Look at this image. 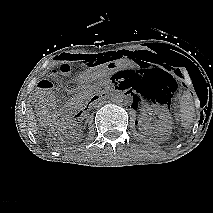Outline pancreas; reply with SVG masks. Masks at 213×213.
<instances>
[{"label":"pancreas","mask_w":213,"mask_h":213,"mask_svg":"<svg viewBox=\"0 0 213 213\" xmlns=\"http://www.w3.org/2000/svg\"><path fill=\"white\" fill-rule=\"evenodd\" d=\"M93 90H94L93 87H91V86H85L84 90L82 92V98L84 100L89 99L92 96Z\"/></svg>","instance_id":"pancreas-1"}]
</instances>
